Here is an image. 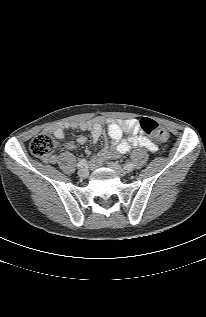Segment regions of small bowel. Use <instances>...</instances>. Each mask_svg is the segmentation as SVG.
I'll return each instance as SVG.
<instances>
[{
  "mask_svg": "<svg viewBox=\"0 0 206 317\" xmlns=\"http://www.w3.org/2000/svg\"><path fill=\"white\" fill-rule=\"evenodd\" d=\"M105 125H107L108 134L112 140L113 147L103 149L94 156L91 161L93 166L102 164L106 159L115 158L127 153L135 147H142L150 152H155L158 149L157 145L144 135L136 119L106 120L102 117H98L90 121L72 123L70 127L90 132V139L85 136H80L77 139L79 144H86L88 142L95 144L103 135ZM51 131L57 139L61 140L64 138V130L62 127H53ZM123 134H127L128 137L123 138ZM65 147L72 150L75 148V144L73 142H66ZM51 161L56 162V158H52Z\"/></svg>",
  "mask_w": 206,
  "mask_h": 317,
  "instance_id": "c3829d8e",
  "label": "small bowel"
}]
</instances>
